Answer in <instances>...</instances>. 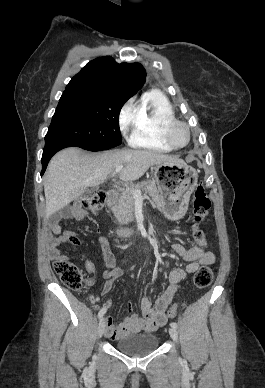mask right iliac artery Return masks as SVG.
Listing matches in <instances>:
<instances>
[{
	"mask_svg": "<svg viewBox=\"0 0 265 388\" xmlns=\"http://www.w3.org/2000/svg\"><path fill=\"white\" fill-rule=\"evenodd\" d=\"M105 313H106V309L105 308L101 309L98 313V318L101 319Z\"/></svg>",
	"mask_w": 265,
	"mask_h": 388,
	"instance_id": "right-iliac-artery-1",
	"label": "right iliac artery"
}]
</instances>
